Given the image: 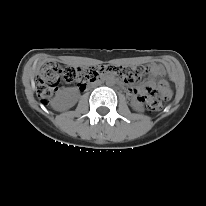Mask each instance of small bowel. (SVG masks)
<instances>
[{"mask_svg":"<svg viewBox=\"0 0 206 206\" xmlns=\"http://www.w3.org/2000/svg\"><path fill=\"white\" fill-rule=\"evenodd\" d=\"M152 72L154 75H161L164 73V69L161 65H154L152 67ZM141 92V89L130 88L128 93L131 97H135L138 93Z\"/></svg>","mask_w":206,"mask_h":206,"instance_id":"obj_1","label":"small bowel"}]
</instances>
